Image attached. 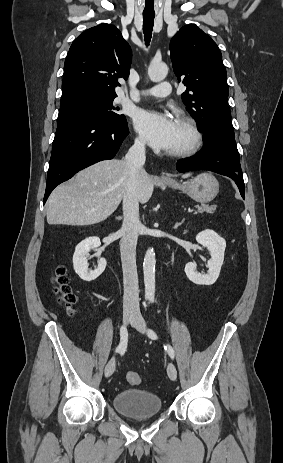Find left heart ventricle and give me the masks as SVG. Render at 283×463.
Listing matches in <instances>:
<instances>
[{"mask_svg": "<svg viewBox=\"0 0 283 463\" xmlns=\"http://www.w3.org/2000/svg\"><path fill=\"white\" fill-rule=\"evenodd\" d=\"M190 139V134L186 130V128L182 126L180 123L176 122L174 141L169 151L185 147L190 142Z\"/></svg>", "mask_w": 283, "mask_h": 463, "instance_id": "1", "label": "left heart ventricle"}]
</instances>
